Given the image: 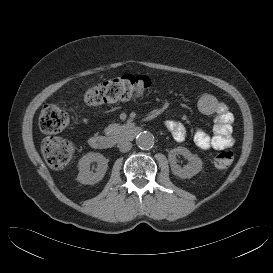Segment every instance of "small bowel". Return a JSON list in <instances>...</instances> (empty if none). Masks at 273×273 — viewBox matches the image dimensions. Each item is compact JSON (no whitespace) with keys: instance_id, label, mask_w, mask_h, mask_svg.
<instances>
[{"instance_id":"obj_1","label":"small bowel","mask_w":273,"mask_h":273,"mask_svg":"<svg viewBox=\"0 0 273 273\" xmlns=\"http://www.w3.org/2000/svg\"><path fill=\"white\" fill-rule=\"evenodd\" d=\"M198 110L204 115L213 116L214 125L212 135L202 129L195 131L194 142L196 146L201 150H221L232 147L235 144V139L231 134L233 114L229 111L227 105L214 95L206 94L199 99ZM165 128L177 142L184 141L186 129L182 122L168 120L165 122Z\"/></svg>"}]
</instances>
